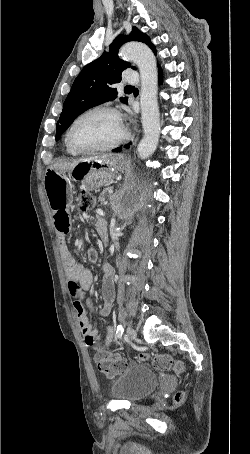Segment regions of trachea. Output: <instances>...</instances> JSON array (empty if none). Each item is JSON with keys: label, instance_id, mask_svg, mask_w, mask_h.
<instances>
[{"label": "trachea", "instance_id": "1", "mask_svg": "<svg viewBox=\"0 0 250 454\" xmlns=\"http://www.w3.org/2000/svg\"><path fill=\"white\" fill-rule=\"evenodd\" d=\"M126 88H133V86H126Z\"/></svg>", "mask_w": 250, "mask_h": 454}]
</instances>
